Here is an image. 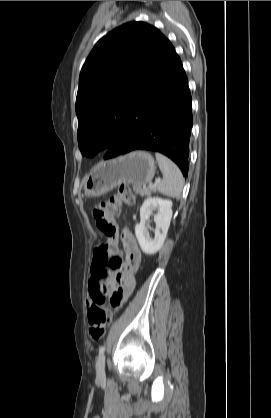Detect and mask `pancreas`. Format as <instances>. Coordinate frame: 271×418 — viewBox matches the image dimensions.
<instances>
[{
    "instance_id": "1",
    "label": "pancreas",
    "mask_w": 271,
    "mask_h": 418,
    "mask_svg": "<svg viewBox=\"0 0 271 418\" xmlns=\"http://www.w3.org/2000/svg\"><path fill=\"white\" fill-rule=\"evenodd\" d=\"M133 191L136 193V194H139V195H141V196H149L152 192H156V188L154 187V188H147V187H141V186H138V185H133Z\"/></svg>"
}]
</instances>
